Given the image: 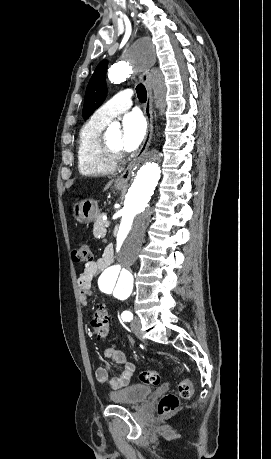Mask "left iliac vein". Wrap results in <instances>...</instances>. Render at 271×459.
<instances>
[{
  "instance_id": "4c4485c4",
  "label": "left iliac vein",
  "mask_w": 271,
  "mask_h": 459,
  "mask_svg": "<svg viewBox=\"0 0 271 459\" xmlns=\"http://www.w3.org/2000/svg\"><path fill=\"white\" fill-rule=\"evenodd\" d=\"M131 329L137 336H142L141 321L138 316H134L131 321Z\"/></svg>"
}]
</instances>
